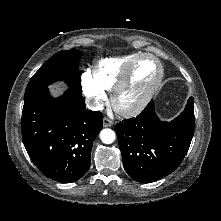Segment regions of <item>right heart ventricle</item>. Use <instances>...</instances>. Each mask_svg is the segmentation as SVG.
I'll list each match as a JSON object with an SVG mask.
<instances>
[{
  "instance_id": "1",
  "label": "right heart ventricle",
  "mask_w": 221,
  "mask_h": 221,
  "mask_svg": "<svg viewBox=\"0 0 221 221\" xmlns=\"http://www.w3.org/2000/svg\"><path fill=\"white\" fill-rule=\"evenodd\" d=\"M140 54L131 53L100 60L93 70L95 81L104 90H112L127 66Z\"/></svg>"
}]
</instances>
